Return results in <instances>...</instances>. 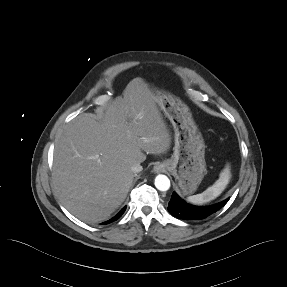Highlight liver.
<instances>
[{
	"label": "liver",
	"instance_id": "obj_1",
	"mask_svg": "<svg viewBox=\"0 0 287 287\" xmlns=\"http://www.w3.org/2000/svg\"><path fill=\"white\" fill-rule=\"evenodd\" d=\"M156 103L147 83L135 78L100 121L84 113L64 127L55 143L53 185L74 216L106 220L127 196L131 166L145 161L144 152L168 151L171 136Z\"/></svg>",
	"mask_w": 287,
	"mask_h": 287
}]
</instances>
